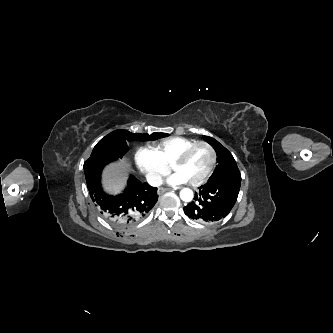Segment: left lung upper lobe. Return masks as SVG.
Segmentation results:
<instances>
[{
  "mask_svg": "<svg viewBox=\"0 0 333 333\" xmlns=\"http://www.w3.org/2000/svg\"><path fill=\"white\" fill-rule=\"evenodd\" d=\"M206 141L216 150L218 165L210 178L216 177L224 172L239 170L232 154L217 140L204 136Z\"/></svg>",
  "mask_w": 333,
  "mask_h": 333,
  "instance_id": "obj_1",
  "label": "left lung upper lobe"
}]
</instances>
